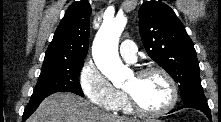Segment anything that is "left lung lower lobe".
Returning a JSON list of instances; mask_svg holds the SVG:
<instances>
[{
	"label": "left lung lower lobe",
	"mask_w": 221,
	"mask_h": 122,
	"mask_svg": "<svg viewBox=\"0 0 221 122\" xmlns=\"http://www.w3.org/2000/svg\"><path fill=\"white\" fill-rule=\"evenodd\" d=\"M188 107L195 108V109H198V110L202 111L204 114L207 115V117L211 121V112H210L209 106H208L206 101L194 102V103H185L181 108H188ZM174 111L175 110H173L171 112H174Z\"/></svg>",
	"instance_id": "obj_1"
}]
</instances>
